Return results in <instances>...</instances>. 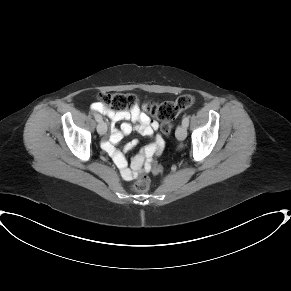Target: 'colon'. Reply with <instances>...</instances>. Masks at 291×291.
Listing matches in <instances>:
<instances>
[{
  "label": "colon",
  "instance_id": "colon-1",
  "mask_svg": "<svg viewBox=\"0 0 291 291\" xmlns=\"http://www.w3.org/2000/svg\"><path fill=\"white\" fill-rule=\"evenodd\" d=\"M100 104L105 108L114 110H125L133 107L136 100L133 95L128 93H101L99 95ZM194 103V98L191 95H182L175 101H166L160 105H148L147 111L155 115L161 121V130L164 135L171 136L172 124L171 121L183 110L191 107ZM164 171L160 165L153 167L155 174H162ZM150 187V179L146 175L136 179L131 189L135 192H145Z\"/></svg>",
  "mask_w": 291,
  "mask_h": 291
}]
</instances>
